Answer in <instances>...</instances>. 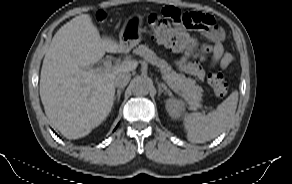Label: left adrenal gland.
Returning <instances> with one entry per match:
<instances>
[{"instance_id": "obj_1", "label": "left adrenal gland", "mask_w": 292, "mask_h": 184, "mask_svg": "<svg viewBox=\"0 0 292 184\" xmlns=\"http://www.w3.org/2000/svg\"><path fill=\"white\" fill-rule=\"evenodd\" d=\"M157 84H158V96H160L162 93H164V95H166L168 92L167 88L164 87V89H163V86L159 82Z\"/></svg>"}]
</instances>
